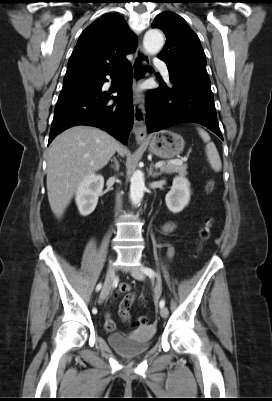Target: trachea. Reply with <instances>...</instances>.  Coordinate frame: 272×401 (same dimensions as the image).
Segmentation results:
<instances>
[{
	"mask_svg": "<svg viewBox=\"0 0 272 401\" xmlns=\"http://www.w3.org/2000/svg\"><path fill=\"white\" fill-rule=\"evenodd\" d=\"M147 69H148V70H151V68H150V67H148Z\"/></svg>",
	"mask_w": 272,
	"mask_h": 401,
	"instance_id": "3493384b",
	"label": "trachea"
}]
</instances>
